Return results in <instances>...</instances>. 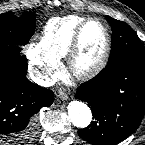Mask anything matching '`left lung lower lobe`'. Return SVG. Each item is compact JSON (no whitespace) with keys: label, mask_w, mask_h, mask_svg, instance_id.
<instances>
[{"label":"left lung lower lobe","mask_w":145,"mask_h":145,"mask_svg":"<svg viewBox=\"0 0 145 145\" xmlns=\"http://www.w3.org/2000/svg\"><path fill=\"white\" fill-rule=\"evenodd\" d=\"M75 97L88 103L94 119L78 130L79 136L94 145L116 144L139 127L145 114V65L107 66L81 84Z\"/></svg>","instance_id":"obj_1"}]
</instances>
